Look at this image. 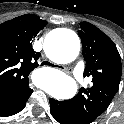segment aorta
Returning a JSON list of instances; mask_svg holds the SVG:
<instances>
[{
	"label": "aorta",
	"instance_id": "1",
	"mask_svg": "<svg viewBox=\"0 0 124 124\" xmlns=\"http://www.w3.org/2000/svg\"><path fill=\"white\" fill-rule=\"evenodd\" d=\"M45 45L47 56L59 63L72 62L80 51L79 38L74 31L69 29L55 31L45 41ZM36 85L59 100L70 99L77 92L75 80L56 69L45 70L42 79L36 80Z\"/></svg>",
	"mask_w": 124,
	"mask_h": 124
}]
</instances>
